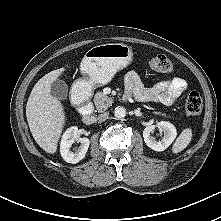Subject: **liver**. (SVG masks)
I'll use <instances>...</instances> for the list:
<instances>
[{"label":"liver","mask_w":221,"mask_h":221,"mask_svg":"<svg viewBox=\"0 0 221 221\" xmlns=\"http://www.w3.org/2000/svg\"><path fill=\"white\" fill-rule=\"evenodd\" d=\"M65 71L49 72L33 87L26 105V117L36 143L47 153L57 151L66 115L60 101L51 95V84Z\"/></svg>","instance_id":"1"}]
</instances>
